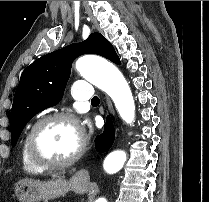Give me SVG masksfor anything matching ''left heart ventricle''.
<instances>
[{"label": "left heart ventricle", "instance_id": "1", "mask_svg": "<svg viewBox=\"0 0 209 202\" xmlns=\"http://www.w3.org/2000/svg\"><path fill=\"white\" fill-rule=\"evenodd\" d=\"M80 136L79 129L69 122H49L34 137L35 154L46 161H62L75 153Z\"/></svg>", "mask_w": 209, "mask_h": 202}]
</instances>
